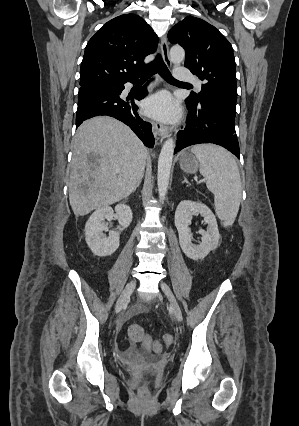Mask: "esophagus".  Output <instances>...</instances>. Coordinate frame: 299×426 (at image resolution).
I'll list each match as a JSON object with an SVG mask.
<instances>
[{"mask_svg": "<svg viewBox=\"0 0 299 426\" xmlns=\"http://www.w3.org/2000/svg\"><path fill=\"white\" fill-rule=\"evenodd\" d=\"M160 49L162 53L163 60L167 66H171V61L169 58V46L167 37L163 36L160 41ZM153 127L155 130V133L157 136L160 137L161 140H163L165 137L169 135L170 128L164 124H161L159 122H153Z\"/></svg>", "mask_w": 299, "mask_h": 426, "instance_id": "1", "label": "esophagus"}]
</instances>
